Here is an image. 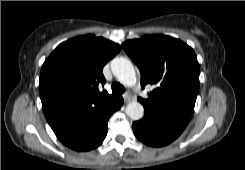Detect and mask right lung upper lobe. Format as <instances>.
<instances>
[{"label":"right lung upper lobe","instance_id":"obj_1","mask_svg":"<svg viewBox=\"0 0 245 170\" xmlns=\"http://www.w3.org/2000/svg\"><path fill=\"white\" fill-rule=\"evenodd\" d=\"M121 46L102 37L85 35L58 45L40 74L44 114L63 144L80 137L119 96L99 91L104 65Z\"/></svg>","mask_w":245,"mask_h":170}]
</instances>
